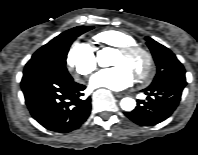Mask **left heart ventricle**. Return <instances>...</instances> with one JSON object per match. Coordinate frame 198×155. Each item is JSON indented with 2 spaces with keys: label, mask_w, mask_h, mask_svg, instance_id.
<instances>
[{
  "label": "left heart ventricle",
  "mask_w": 198,
  "mask_h": 155,
  "mask_svg": "<svg viewBox=\"0 0 198 155\" xmlns=\"http://www.w3.org/2000/svg\"><path fill=\"white\" fill-rule=\"evenodd\" d=\"M120 64L127 65L136 73V71L143 65V58L140 55L127 57L118 52L114 60V65Z\"/></svg>",
  "instance_id": "obj_1"
}]
</instances>
